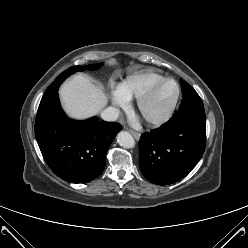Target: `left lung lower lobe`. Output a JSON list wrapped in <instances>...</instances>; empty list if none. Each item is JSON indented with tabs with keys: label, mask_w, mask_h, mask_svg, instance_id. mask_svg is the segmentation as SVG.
<instances>
[{
	"label": "left lung lower lobe",
	"mask_w": 248,
	"mask_h": 248,
	"mask_svg": "<svg viewBox=\"0 0 248 248\" xmlns=\"http://www.w3.org/2000/svg\"><path fill=\"white\" fill-rule=\"evenodd\" d=\"M205 142L204 107L187 114H175L160 128L141 135V172L146 179L158 185L175 183L201 159Z\"/></svg>",
	"instance_id": "left-lung-lower-lobe-1"
}]
</instances>
